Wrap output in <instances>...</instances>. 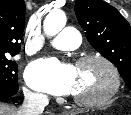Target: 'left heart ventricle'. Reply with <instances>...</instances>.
<instances>
[{
  "mask_svg": "<svg viewBox=\"0 0 131 115\" xmlns=\"http://www.w3.org/2000/svg\"><path fill=\"white\" fill-rule=\"evenodd\" d=\"M76 68L74 96L95 98L105 94L112 85L108 68L99 61H91Z\"/></svg>",
  "mask_w": 131,
  "mask_h": 115,
  "instance_id": "1",
  "label": "left heart ventricle"
}]
</instances>
